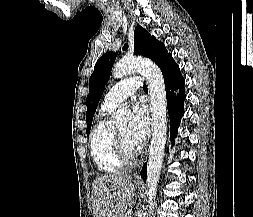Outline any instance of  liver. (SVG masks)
<instances>
[{"label": "liver", "instance_id": "1", "mask_svg": "<svg viewBox=\"0 0 253 217\" xmlns=\"http://www.w3.org/2000/svg\"><path fill=\"white\" fill-rule=\"evenodd\" d=\"M134 192L129 175L115 173L98 176L92 185L94 217H124Z\"/></svg>", "mask_w": 253, "mask_h": 217}]
</instances>
